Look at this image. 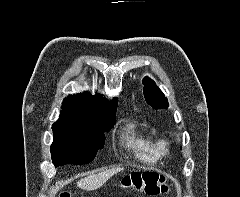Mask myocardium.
<instances>
[{
  "label": "myocardium",
  "instance_id": "myocardium-1",
  "mask_svg": "<svg viewBox=\"0 0 240 197\" xmlns=\"http://www.w3.org/2000/svg\"><path fill=\"white\" fill-rule=\"evenodd\" d=\"M155 149L159 157L166 156L169 151L168 142L164 139L157 140L155 142Z\"/></svg>",
  "mask_w": 240,
  "mask_h": 197
}]
</instances>
